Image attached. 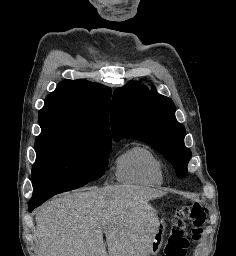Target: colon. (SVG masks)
<instances>
[{"mask_svg": "<svg viewBox=\"0 0 236 256\" xmlns=\"http://www.w3.org/2000/svg\"><path fill=\"white\" fill-rule=\"evenodd\" d=\"M206 220L207 213L200 202L189 203L177 210L173 216V224L163 249V256H186L189 247L185 233L186 222H191V238L194 242H198L202 237Z\"/></svg>", "mask_w": 236, "mask_h": 256, "instance_id": "obj_1", "label": "colon"}]
</instances>
